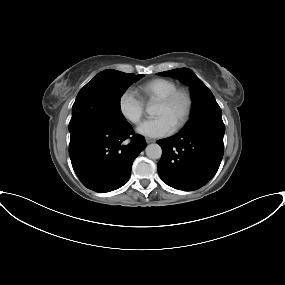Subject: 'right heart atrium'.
<instances>
[{
  "mask_svg": "<svg viewBox=\"0 0 285 285\" xmlns=\"http://www.w3.org/2000/svg\"><path fill=\"white\" fill-rule=\"evenodd\" d=\"M118 108L122 117L132 124H138L145 111L143 100L131 89L122 92L118 100Z\"/></svg>",
  "mask_w": 285,
  "mask_h": 285,
  "instance_id": "d8ad5b80",
  "label": "right heart atrium"
}]
</instances>
